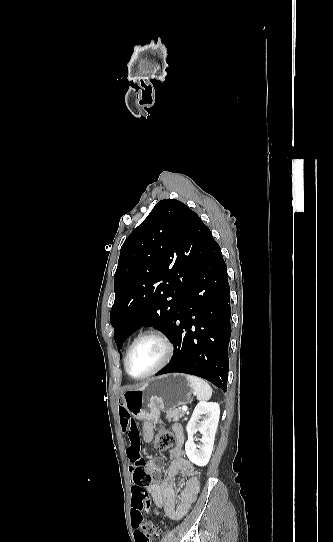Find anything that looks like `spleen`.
Masks as SVG:
<instances>
[{"mask_svg": "<svg viewBox=\"0 0 333 542\" xmlns=\"http://www.w3.org/2000/svg\"><path fill=\"white\" fill-rule=\"evenodd\" d=\"M197 400H210L212 396V388L201 380V378H196V376H186Z\"/></svg>", "mask_w": 333, "mask_h": 542, "instance_id": "3e777b00", "label": "spleen"}]
</instances>
